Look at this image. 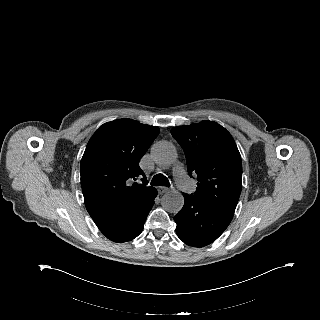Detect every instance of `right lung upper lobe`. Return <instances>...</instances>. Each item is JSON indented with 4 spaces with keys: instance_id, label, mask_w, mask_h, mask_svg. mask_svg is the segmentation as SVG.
<instances>
[{
    "instance_id": "1",
    "label": "right lung upper lobe",
    "mask_w": 320,
    "mask_h": 320,
    "mask_svg": "<svg viewBox=\"0 0 320 320\" xmlns=\"http://www.w3.org/2000/svg\"><path fill=\"white\" fill-rule=\"evenodd\" d=\"M159 132L156 127L120 119L101 126L91 137L80 171L86 209L94 222L143 204L156 190L146 186L139 160ZM142 176V183L135 182Z\"/></svg>"
}]
</instances>
